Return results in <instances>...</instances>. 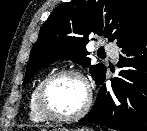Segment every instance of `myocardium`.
I'll return each instance as SVG.
<instances>
[{"label": "myocardium", "mask_w": 147, "mask_h": 131, "mask_svg": "<svg viewBox=\"0 0 147 131\" xmlns=\"http://www.w3.org/2000/svg\"><path fill=\"white\" fill-rule=\"evenodd\" d=\"M64 77H76L80 79L86 86L88 97L84 107L75 114L72 115H62L56 113L49 105L47 100L48 90L51 85L57 80ZM93 103L92 92L88 83L86 76L79 70L76 69H64L47 76L40 84L37 91V105L42 113V115L48 120L55 122H72L84 117L91 109Z\"/></svg>", "instance_id": "myocardium-1"}]
</instances>
